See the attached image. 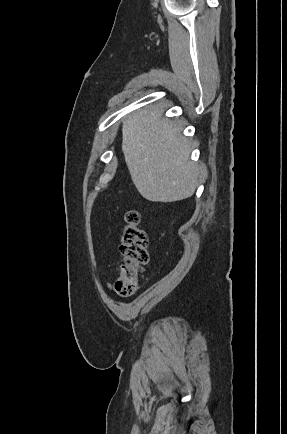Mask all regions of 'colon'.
<instances>
[{"label":"colon","instance_id":"1","mask_svg":"<svg viewBox=\"0 0 287 434\" xmlns=\"http://www.w3.org/2000/svg\"><path fill=\"white\" fill-rule=\"evenodd\" d=\"M120 250L123 264L115 282L116 292L132 296L139 288L144 267L149 262L148 237L142 227L141 216L135 209L125 214Z\"/></svg>","mask_w":287,"mask_h":434}]
</instances>
